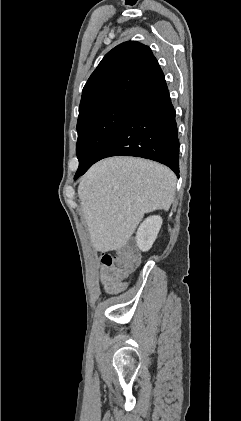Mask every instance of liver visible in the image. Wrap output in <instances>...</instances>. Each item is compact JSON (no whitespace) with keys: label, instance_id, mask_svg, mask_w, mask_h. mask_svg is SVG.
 <instances>
[{"label":"liver","instance_id":"6515ba94","mask_svg":"<svg viewBox=\"0 0 241 421\" xmlns=\"http://www.w3.org/2000/svg\"><path fill=\"white\" fill-rule=\"evenodd\" d=\"M176 176L166 166L135 157H111L81 178L78 196L93 247L108 252L124 247L144 214L169 210Z\"/></svg>","mask_w":241,"mask_h":421}]
</instances>
